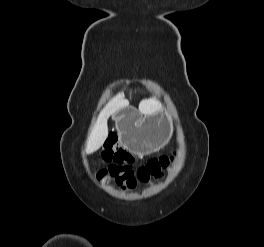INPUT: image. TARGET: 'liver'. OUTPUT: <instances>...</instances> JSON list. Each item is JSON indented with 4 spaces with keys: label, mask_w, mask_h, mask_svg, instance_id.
I'll use <instances>...</instances> for the list:
<instances>
[{
    "label": "liver",
    "mask_w": 264,
    "mask_h": 247,
    "mask_svg": "<svg viewBox=\"0 0 264 247\" xmlns=\"http://www.w3.org/2000/svg\"><path fill=\"white\" fill-rule=\"evenodd\" d=\"M129 102L124 98V95L119 94L114 97L100 113L98 120L91 129L87 142L85 153L90 154L98 150L105 142L108 136L107 118L109 115L118 110L128 107ZM161 108V103L155 98L143 100L139 104V111L142 114L151 115L158 112Z\"/></svg>",
    "instance_id": "1"
}]
</instances>
